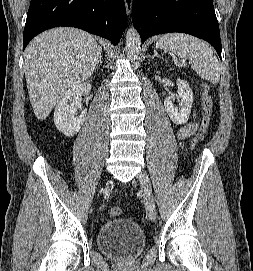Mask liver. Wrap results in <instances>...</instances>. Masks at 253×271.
<instances>
[{
    "label": "liver",
    "instance_id": "obj_1",
    "mask_svg": "<svg viewBox=\"0 0 253 271\" xmlns=\"http://www.w3.org/2000/svg\"><path fill=\"white\" fill-rule=\"evenodd\" d=\"M101 47L87 32L59 27L35 37L24 53L29 99L36 117L45 120L72 87L95 70Z\"/></svg>",
    "mask_w": 253,
    "mask_h": 271
}]
</instances>
